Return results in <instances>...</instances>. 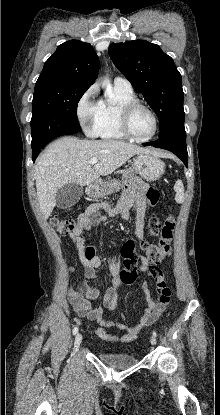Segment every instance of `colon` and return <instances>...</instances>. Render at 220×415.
Wrapping results in <instances>:
<instances>
[{"instance_id":"colon-1","label":"colon","mask_w":220,"mask_h":415,"mask_svg":"<svg viewBox=\"0 0 220 415\" xmlns=\"http://www.w3.org/2000/svg\"><path fill=\"white\" fill-rule=\"evenodd\" d=\"M146 197L151 205H155L159 200L157 189L149 188ZM51 225L62 235H69L75 229L74 221L64 213H59L51 218ZM176 222L172 215H168L163 223H159L155 217H151L148 223L149 232L159 238L157 243L141 244L143 255L150 263V275L153 286L157 293L156 311L164 312L170 305L171 289L163 280L162 273L157 267L166 257L171 254V245L174 236ZM123 258V268L120 272V280L124 284H133L138 277L137 262L139 258L137 246L134 240H127L121 249Z\"/></svg>"}]
</instances>
